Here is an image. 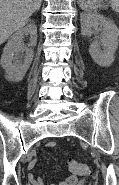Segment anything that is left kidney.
<instances>
[{
  "mask_svg": "<svg viewBox=\"0 0 119 185\" xmlns=\"http://www.w3.org/2000/svg\"><path fill=\"white\" fill-rule=\"evenodd\" d=\"M81 34L91 37L92 28H99L102 33L89 47V53L95 63L101 67H108L114 61V53L118 47L119 29L111 19L95 12H82L80 14ZM103 46V51L100 49Z\"/></svg>",
  "mask_w": 119,
  "mask_h": 185,
  "instance_id": "obj_1",
  "label": "left kidney"
}]
</instances>
